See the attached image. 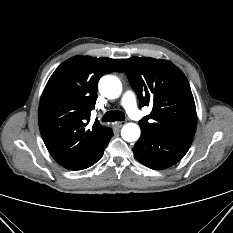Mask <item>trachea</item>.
Masks as SVG:
<instances>
[{
  "instance_id": "1",
  "label": "trachea",
  "mask_w": 233,
  "mask_h": 233,
  "mask_svg": "<svg viewBox=\"0 0 233 233\" xmlns=\"http://www.w3.org/2000/svg\"><path fill=\"white\" fill-rule=\"evenodd\" d=\"M125 120V114L121 111H108L104 114L102 121L103 122H113V121H123Z\"/></svg>"
}]
</instances>
